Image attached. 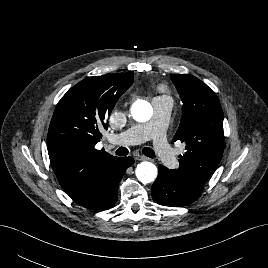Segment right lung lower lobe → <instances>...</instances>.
I'll return each mask as SVG.
<instances>
[{
    "mask_svg": "<svg viewBox=\"0 0 268 268\" xmlns=\"http://www.w3.org/2000/svg\"><path fill=\"white\" fill-rule=\"evenodd\" d=\"M134 163L132 157H119L100 176L92 193L79 205L91 210H104L112 207L118 199V184L126 169Z\"/></svg>",
    "mask_w": 268,
    "mask_h": 268,
    "instance_id": "obj_1",
    "label": "right lung lower lobe"
}]
</instances>
